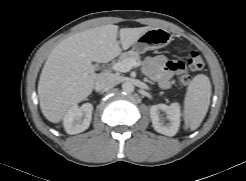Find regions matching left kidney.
I'll return each mask as SVG.
<instances>
[{
  "label": "left kidney",
  "mask_w": 246,
  "mask_h": 181,
  "mask_svg": "<svg viewBox=\"0 0 246 181\" xmlns=\"http://www.w3.org/2000/svg\"><path fill=\"white\" fill-rule=\"evenodd\" d=\"M152 126L158 133L174 136L180 127L181 108L179 103L156 104L150 107Z\"/></svg>",
  "instance_id": "left-kidney-1"
}]
</instances>
